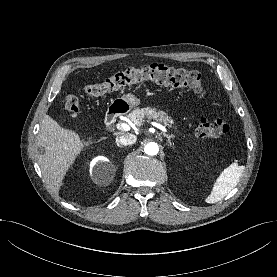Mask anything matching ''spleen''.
<instances>
[{
  "mask_svg": "<svg viewBox=\"0 0 277 277\" xmlns=\"http://www.w3.org/2000/svg\"><path fill=\"white\" fill-rule=\"evenodd\" d=\"M243 171L244 166H239L236 163L224 169L214 183L211 194L205 201L209 204L221 201L238 184Z\"/></svg>",
  "mask_w": 277,
  "mask_h": 277,
  "instance_id": "1",
  "label": "spleen"
}]
</instances>
